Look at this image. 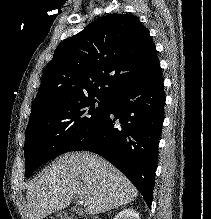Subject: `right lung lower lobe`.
<instances>
[{"instance_id":"obj_1","label":"right lung lower lobe","mask_w":211,"mask_h":219,"mask_svg":"<svg viewBox=\"0 0 211 219\" xmlns=\"http://www.w3.org/2000/svg\"><path fill=\"white\" fill-rule=\"evenodd\" d=\"M163 82L158 61L143 77L114 94L101 121L69 149L106 158L130 179L148 207L164 121Z\"/></svg>"}]
</instances>
